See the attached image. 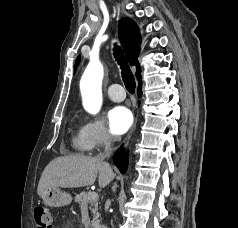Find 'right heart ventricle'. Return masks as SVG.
Returning <instances> with one entry per match:
<instances>
[{"label":"right heart ventricle","mask_w":238,"mask_h":228,"mask_svg":"<svg viewBox=\"0 0 238 228\" xmlns=\"http://www.w3.org/2000/svg\"><path fill=\"white\" fill-rule=\"evenodd\" d=\"M73 147L80 152L88 151L87 145L82 136L81 128L78 129L73 138Z\"/></svg>","instance_id":"e07e8e85"}]
</instances>
